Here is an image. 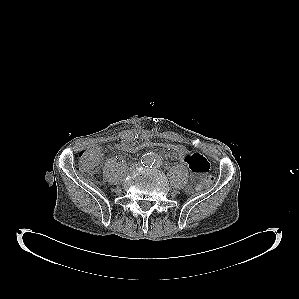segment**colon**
I'll return each mask as SVG.
<instances>
[{"label":"colon","instance_id":"obj_1","mask_svg":"<svg viewBox=\"0 0 299 299\" xmlns=\"http://www.w3.org/2000/svg\"><path fill=\"white\" fill-rule=\"evenodd\" d=\"M126 147V144L124 140H119L115 145L114 148L118 150H124ZM151 147H162L166 148L168 150H171L174 152L180 159H183L187 155V149L181 145V144H174L170 142H162V141H151V140H146L143 141L142 143L136 144L134 143L132 145V149L135 152H139ZM100 157V150L99 149H89V150H84L80 152L78 156V162H77V169L83 173V174H92L96 166L98 164ZM213 182V178L210 175L204 176L200 183L197 186V189H205L209 187Z\"/></svg>","mask_w":299,"mask_h":299}]
</instances>
